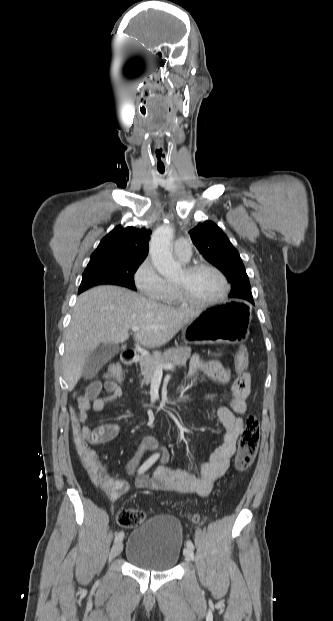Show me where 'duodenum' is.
I'll return each mask as SVG.
<instances>
[{
  "label": "duodenum",
  "mask_w": 333,
  "mask_h": 621,
  "mask_svg": "<svg viewBox=\"0 0 333 621\" xmlns=\"http://www.w3.org/2000/svg\"><path fill=\"white\" fill-rule=\"evenodd\" d=\"M138 358V354L134 350H126L121 354V360L125 365H133Z\"/></svg>",
  "instance_id": "obj_1"
}]
</instances>
